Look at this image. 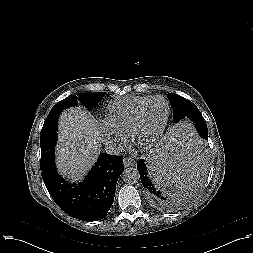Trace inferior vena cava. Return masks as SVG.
Segmentation results:
<instances>
[{
	"label": "inferior vena cava",
	"instance_id": "602c4592",
	"mask_svg": "<svg viewBox=\"0 0 253 253\" xmlns=\"http://www.w3.org/2000/svg\"><path fill=\"white\" fill-rule=\"evenodd\" d=\"M105 151L112 155H118L122 152V147L110 141L105 143Z\"/></svg>",
	"mask_w": 253,
	"mask_h": 253
}]
</instances>
